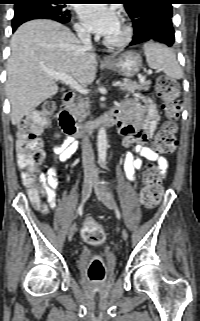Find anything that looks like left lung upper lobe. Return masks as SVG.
I'll list each match as a JSON object with an SVG mask.
<instances>
[{"label":"left lung upper lobe","mask_w":200,"mask_h":321,"mask_svg":"<svg viewBox=\"0 0 200 321\" xmlns=\"http://www.w3.org/2000/svg\"><path fill=\"white\" fill-rule=\"evenodd\" d=\"M174 0H123L126 12L131 20L149 14H165L172 17V3Z\"/></svg>","instance_id":"5c2ea615"}]
</instances>
